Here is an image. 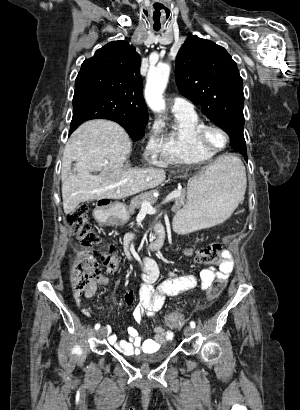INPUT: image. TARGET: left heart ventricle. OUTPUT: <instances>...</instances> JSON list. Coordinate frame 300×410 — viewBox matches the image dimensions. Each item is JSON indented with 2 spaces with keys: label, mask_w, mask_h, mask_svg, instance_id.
<instances>
[{
  "label": "left heart ventricle",
  "mask_w": 300,
  "mask_h": 410,
  "mask_svg": "<svg viewBox=\"0 0 300 410\" xmlns=\"http://www.w3.org/2000/svg\"><path fill=\"white\" fill-rule=\"evenodd\" d=\"M207 140L214 148H220L224 146L226 142L225 136L217 129H210L208 131Z\"/></svg>",
  "instance_id": "1"
}]
</instances>
